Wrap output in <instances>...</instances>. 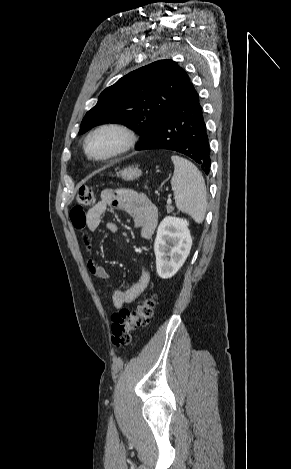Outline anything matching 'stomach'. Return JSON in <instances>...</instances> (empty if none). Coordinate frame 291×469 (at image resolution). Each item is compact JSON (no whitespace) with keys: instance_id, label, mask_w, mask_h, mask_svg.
Here are the masks:
<instances>
[{"instance_id":"obj_1","label":"stomach","mask_w":291,"mask_h":469,"mask_svg":"<svg viewBox=\"0 0 291 469\" xmlns=\"http://www.w3.org/2000/svg\"><path fill=\"white\" fill-rule=\"evenodd\" d=\"M140 175H141V171L137 167H134V166L126 167L120 172V176L124 180H134L138 178Z\"/></svg>"}]
</instances>
